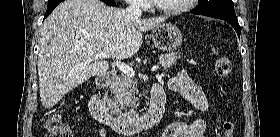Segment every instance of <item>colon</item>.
<instances>
[{
    "mask_svg": "<svg viewBox=\"0 0 280 137\" xmlns=\"http://www.w3.org/2000/svg\"><path fill=\"white\" fill-rule=\"evenodd\" d=\"M215 73L221 77H229L232 71V63L226 56H220L215 63ZM49 137H72L69 125L57 113H53L46 122ZM235 123L232 120L224 122L225 137H234Z\"/></svg>",
    "mask_w": 280,
    "mask_h": 137,
    "instance_id": "colon-1",
    "label": "colon"
}]
</instances>
